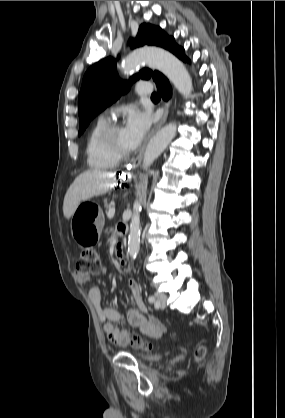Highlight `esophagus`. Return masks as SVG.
Masks as SVG:
<instances>
[{
  "label": "esophagus",
  "instance_id": "obj_1",
  "mask_svg": "<svg viewBox=\"0 0 285 418\" xmlns=\"http://www.w3.org/2000/svg\"><path fill=\"white\" fill-rule=\"evenodd\" d=\"M168 112H169V104L167 102H165L164 107H163V116H162L161 120L159 121V123L151 130L148 137L146 138L145 143H144L140 153L138 154L137 158L135 159V161L131 165L132 168H137L140 165V163L142 161V158H143L144 151H145V147H146L148 141L157 132V130L166 122Z\"/></svg>",
  "mask_w": 285,
  "mask_h": 418
}]
</instances>
